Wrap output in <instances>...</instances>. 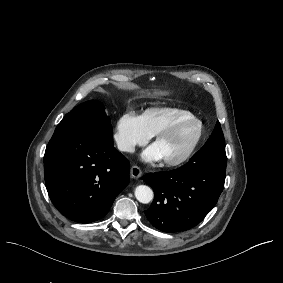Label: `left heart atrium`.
<instances>
[{"instance_id":"left-heart-atrium-1","label":"left heart atrium","mask_w":283,"mask_h":283,"mask_svg":"<svg viewBox=\"0 0 283 283\" xmlns=\"http://www.w3.org/2000/svg\"><path fill=\"white\" fill-rule=\"evenodd\" d=\"M140 158L145 163H155L164 160V155L158 143L154 142L141 152Z\"/></svg>"}]
</instances>
